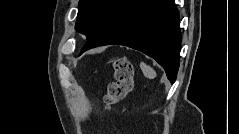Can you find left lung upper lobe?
<instances>
[{
	"mask_svg": "<svg viewBox=\"0 0 239 134\" xmlns=\"http://www.w3.org/2000/svg\"><path fill=\"white\" fill-rule=\"evenodd\" d=\"M124 0H80L75 29L87 39L100 31Z\"/></svg>",
	"mask_w": 239,
	"mask_h": 134,
	"instance_id": "left-lung-upper-lobe-1",
	"label": "left lung upper lobe"
}]
</instances>
